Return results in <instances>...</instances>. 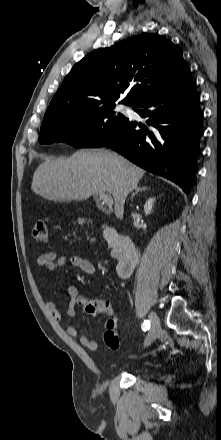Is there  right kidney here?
I'll return each mask as SVG.
<instances>
[{
	"label": "right kidney",
	"mask_w": 221,
	"mask_h": 440,
	"mask_svg": "<svg viewBox=\"0 0 221 440\" xmlns=\"http://www.w3.org/2000/svg\"><path fill=\"white\" fill-rule=\"evenodd\" d=\"M155 198H149L144 205V212L146 215H149L152 212V207L154 204Z\"/></svg>",
	"instance_id": "obj_1"
}]
</instances>
